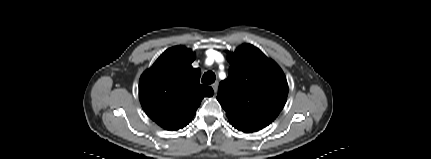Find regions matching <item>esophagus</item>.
<instances>
[{"instance_id":"1","label":"esophagus","mask_w":431,"mask_h":159,"mask_svg":"<svg viewBox=\"0 0 431 159\" xmlns=\"http://www.w3.org/2000/svg\"><path fill=\"white\" fill-rule=\"evenodd\" d=\"M218 85H219L218 82H215L214 84H212V88H213L215 94L217 93Z\"/></svg>"}]
</instances>
